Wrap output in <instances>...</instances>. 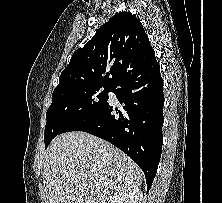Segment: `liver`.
<instances>
[{
  "label": "liver",
  "mask_w": 222,
  "mask_h": 203,
  "mask_svg": "<svg viewBox=\"0 0 222 203\" xmlns=\"http://www.w3.org/2000/svg\"><path fill=\"white\" fill-rule=\"evenodd\" d=\"M142 180V170L124 152L85 132L58 135L45 154L48 203H111Z\"/></svg>",
  "instance_id": "1"
}]
</instances>
